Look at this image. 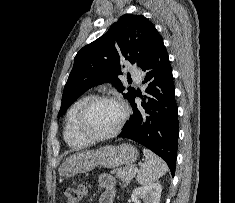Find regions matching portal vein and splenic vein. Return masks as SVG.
I'll use <instances>...</instances> for the list:
<instances>
[{
    "instance_id": "obj_1",
    "label": "portal vein and splenic vein",
    "mask_w": 235,
    "mask_h": 203,
    "mask_svg": "<svg viewBox=\"0 0 235 203\" xmlns=\"http://www.w3.org/2000/svg\"><path fill=\"white\" fill-rule=\"evenodd\" d=\"M133 170H134V172H137V171H138V169H137V168H134Z\"/></svg>"
}]
</instances>
